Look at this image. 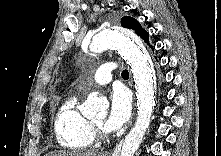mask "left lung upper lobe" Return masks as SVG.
<instances>
[{
  "instance_id": "1",
  "label": "left lung upper lobe",
  "mask_w": 221,
  "mask_h": 156,
  "mask_svg": "<svg viewBox=\"0 0 221 156\" xmlns=\"http://www.w3.org/2000/svg\"><path fill=\"white\" fill-rule=\"evenodd\" d=\"M121 25L125 28H129V29H133L135 30V32L142 38L144 39V41L146 43L149 44V33L146 32L142 26L139 24V22L132 18V17H129V16H124L122 19H121ZM152 48V50H154V48L152 46H150Z\"/></svg>"
}]
</instances>
